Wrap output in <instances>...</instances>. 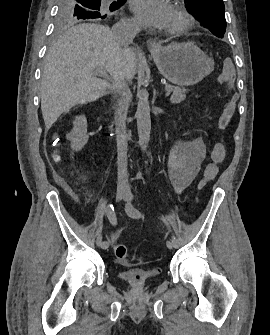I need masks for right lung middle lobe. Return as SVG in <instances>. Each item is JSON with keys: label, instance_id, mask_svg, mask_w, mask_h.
<instances>
[{"label": "right lung middle lobe", "instance_id": "right-lung-middle-lobe-1", "mask_svg": "<svg viewBox=\"0 0 270 335\" xmlns=\"http://www.w3.org/2000/svg\"><path fill=\"white\" fill-rule=\"evenodd\" d=\"M126 0H116L102 5L101 0H60L58 3L57 24L59 27L83 23L97 19L103 22L110 18V12L120 8Z\"/></svg>", "mask_w": 270, "mask_h": 335}]
</instances>
